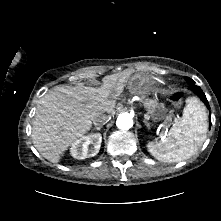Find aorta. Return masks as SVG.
I'll return each mask as SVG.
<instances>
[{
	"label": "aorta",
	"mask_w": 221,
	"mask_h": 221,
	"mask_svg": "<svg viewBox=\"0 0 221 221\" xmlns=\"http://www.w3.org/2000/svg\"><path fill=\"white\" fill-rule=\"evenodd\" d=\"M116 125L121 130H128L133 126V119L129 113H121L116 121Z\"/></svg>",
	"instance_id": "762f6f07"
}]
</instances>
